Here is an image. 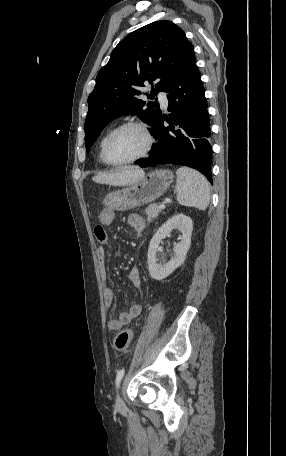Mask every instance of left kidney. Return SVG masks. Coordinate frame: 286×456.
Masks as SVG:
<instances>
[{
	"mask_svg": "<svg viewBox=\"0 0 286 456\" xmlns=\"http://www.w3.org/2000/svg\"><path fill=\"white\" fill-rule=\"evenodd\" d=\"M173 229H178L182 233L181 241L174 247V257L164 265H159L157 264L159 244ZM192 230V219L184 214L174 215L158 229L152 237L148 249V269L153 279L160 281L166 278L184 263L191 245Z\"/></svg>",
	"mask_w": 286,
	"mask_h": 456,
	"instance_id": "1",
	"label": "left kidney"
}]
</instances>
